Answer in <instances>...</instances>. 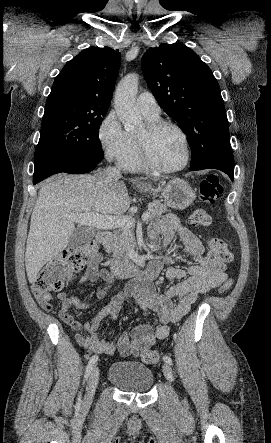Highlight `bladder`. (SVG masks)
<instances>
[{
  "instance_id": "1",
  "label": "bladder",
  "mask_w": 271,
  "mask_h": 443,
  "mask_svg": "<svg viewBox=\"0 0 271 443\" xmlns=\"http://www.w3.org/2000/svg\"><path fill=\"white\" fill-rule=\"evenodd\" d=\"M108 379L118 388L132 393H145L153 385L152 370L137 361H117L108 371Z\"/></svg>"
}]
</instances>
